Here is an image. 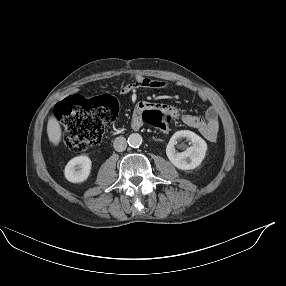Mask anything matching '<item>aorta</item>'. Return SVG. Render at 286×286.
I'll list each match as a JSON object with an SVG mask.
<instances>
[{
  "mask_svg": "<svg viewBox=\"0 0 286 286\" xmlns=\"http://www.w3.org/2000/svg\"><path fill=\"white\" fill-rule=\"evenodd\" d=\"M128 144L131 147L137 148L142 144V137L138 133H133L128 137Z\"/></svg>",
  "mask_w": 286,
  "mask_h": 286,
  "instance_id": "762f6f07",
  "label": "aorta"
}]
</instances>
